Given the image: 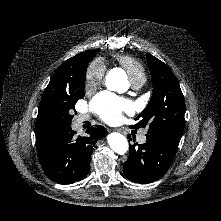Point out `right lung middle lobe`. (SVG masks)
Listing matches in <instances>:
<instances>
[{
    "instance_id": "obj_1",
    "label": "right lung middle lobe",
    "mask_w": 221,
    "mask_h": 221,
    "mask_svg": "<svg viewBox=\"0 0 221 221\" xmlns=\"http://www.w3.org/2000/svg\"><path fill=\"white\" fill-rule=\"evenodd\" d=\"M85 76L86 73L69 86L64 85L51 90L40 105L39 113L56 131L71 126L75 104L84 96Z\"/></svg>"
}]
</instances>
